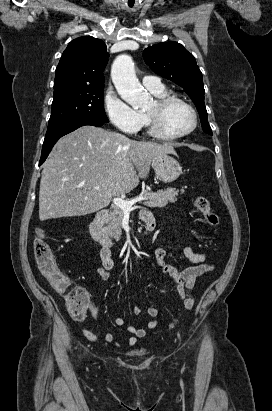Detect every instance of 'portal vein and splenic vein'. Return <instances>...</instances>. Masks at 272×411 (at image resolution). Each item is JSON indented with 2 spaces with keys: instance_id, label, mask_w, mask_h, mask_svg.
<instances>
[{
  "instance_id": "portal-vein-and-splenic-vein-1",
  "label": "portal vein and splenic vein",
  "mask_w": 272,
  "mask_h": 411,
  "mask_svg": "<svg viewBox=\"0 0 272 411\" xmlns=\"http://www.w3.org/2000/svg\"><path fill=\"white\" fill-rule=\"evenodd\" d=\"M97 190H99V187H96ZM143 200H147L146 197L143 196H138L132 200H124L122 198L119 197H115L113 198V204L119 208H121L122 210H131L132 206L134 204H136L137 202L143 201Z\"/></svg>"
}]
</instances>
